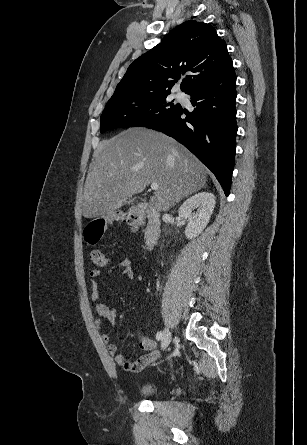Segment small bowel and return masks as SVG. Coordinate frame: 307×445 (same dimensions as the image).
Listing matches in <instances>:
<instances>
[{"mask_svg":"<svg viewBox=\"0 0 307 445\" xmlns=\"http://www.w3.org/2000/svg\"><path fill=\"white\" fill-rule=\"evenodd\" d=\"M116 273L124 275L128 279L132 280L135 275L131 260L129 258H123L117 263V265L111 267L108 270L109 275H113ZM100 274L101 272L99 270H93L90 272L92 299L94 302L95 311L100 318L114 323L117 319L116 309L103 302L99 296L98 279L100 277ZM100 324L101 321L97 320L96 325L100 326ZM102 340L106 344L108 353L113 356L115 362L130 372H140L145 367L155 362L159 357V353L156 350L157 344L153 339H149L148 344H140V347L146 350L147 353L141 356L136 361H131L129 357L119 353L118 346L110 342V337L108 334H102Z\"/></svg>","mask_w":307,"mask_h":445,"instance_id":"obj_1","label":"small bowel"}]
</instances>
